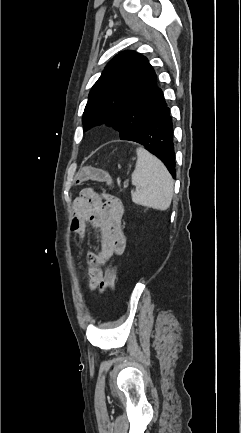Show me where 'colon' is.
Returning <instances> with one entry per match:
<instances>
[{
	"label": "colon",
	"instance_id": "colon-1",
	"mask_svg": "<svg viewBox=\"0 0 241 433\" xmlns=\"http://www.w3.org/2000/svg\"><path fill=\"white\" fill-rule=\"evenodd\" d=\"M87 177H94L100 180L108 179V173L102 169L80 168L75 174V179L82 182H87ZM116 280V268L110 266L102 275L93 274L89 280V285L93 288H98L100 292L107 297H111Z\"/></svg>",
	"mask_w": 241,
	"mask_h": 433
}]
</instances>
